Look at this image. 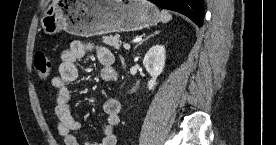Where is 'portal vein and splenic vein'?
<instances>
[{"instance_id":"obj_1","label":"portal vein and splenic vein","mask_w":276,"mask_h":145,"mask_svg":"<svg viewBox=\"0 0 276 145\" xmlns=\"http://www.w3.org/2000/svg\"><path fill=\"white\" fill-rule=\"evenodd\" d=\"M123 47H124L126 50H129L131 46H130L129 44L125 43V44H123Z\"/></svg>"}]
</instances>
